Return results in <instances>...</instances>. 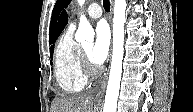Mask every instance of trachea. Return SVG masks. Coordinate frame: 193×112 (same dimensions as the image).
<instances>
[{
    "mask_svg": "<svg viewBox=\"0 0 193 112\" xmlns=\"http://www.w3.org/2000/svg\"><path fill=\"white\" fill-rule=\"evenodd\" d=\"M103 6L106 11H110V2L109 0H103Z\"/></svg>",
    "mask_w": 193,
    "mask_h": 112,
    "instance_id": "3493384b",
    "label": "trachea"
}]
</instances>
